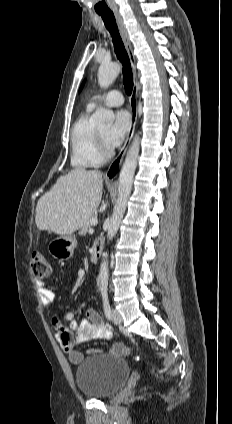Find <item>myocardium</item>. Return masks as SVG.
Wrapping results in <instances>:
<instances>
[{"label":"myocardium","instance_id":"f54148a6","mask_svg":"<svg viewBox=\"0 0 232 424\" xmlns=\"http://www.w3.org/2000/svg\"><path fill=\"white\" fill-rule=\"evenodd\" d=\"M96 137H97L98 148H99V152H100L101 156L105 160L110 158L113 154V150L109 146L107 141L103 138L102 134L100 133V131L98 129L96 131Z\"/></svg>","mask_w":232,"mask_h":424}]
</instances>
